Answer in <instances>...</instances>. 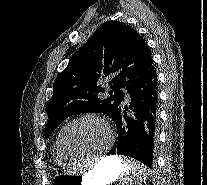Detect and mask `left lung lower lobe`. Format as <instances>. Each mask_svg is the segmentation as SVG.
<instances>
[{
  "instance_id": "left-lung-lower-lobe-1",
  "label": "left lung lower lobe",
  "mask_w": 207,
  "mask_h": 185,
  "mask_svg": "<svg viewBox=\"0 0 207 185\" xmlns=\"http://www.w3.org/2000/svg\"><path fill=\"white\" fill-rule=\"evenodd\" d=\"M114 120L117 138L107 155H126L151 167L158 140V89L155 67L130 86Z\"/></svg>"
}]
</instances>
